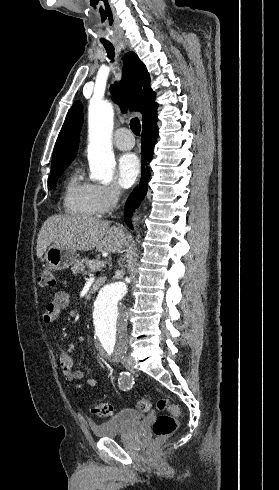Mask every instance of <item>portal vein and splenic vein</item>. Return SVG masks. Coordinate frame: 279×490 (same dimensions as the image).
I'll use <instances>...</instances> for the list:
<instances>
[{"label":"portal vein and splenic vein","instance_id":"1","mask_svg":"<svg viewBox=\"0 0 279 490\" xmlns=\"http://www.w3.org/2000/svg\"><path fill=\"white\" fill-rule=\"evenodd\" d=\"M96 262H89V266L90 268H93V266H95ZM101 264H103V262H101Z\"/></svg>","mask_w":279,"mask_h":490}]
</instances>
